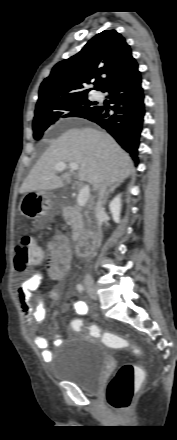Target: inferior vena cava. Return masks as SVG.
I'll return each instance as SVG.
<instances>
[{
	"label": "inferior vena cava",
	"mask_w": 177,
	"mask_h": 440,
	"mask_svg": "<svg viewBox=\"0 0 177 440\" xmlns=\"http://www.w3.org/2000/svg\"><path fill=\"white\" fill-rule=\"evenodd\" d=\"M106 189H107V187H106L105 183L100 184V186L98 188V201L95 206V213L96 214H99L100 212L103 211V205L106 202V195H107ZM86 279L91 280V275L87 274Z\"/></svg>",
	"instance_id": "1"
}]
</instances>
